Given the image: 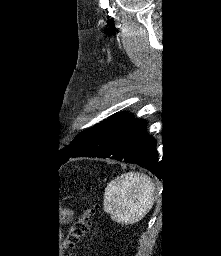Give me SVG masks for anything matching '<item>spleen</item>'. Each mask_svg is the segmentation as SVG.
Returning <instances> with one entry per match:
<instances>
[{"label":"spleen","mask_w":221,"mask_h":256,"mask_svg":"<svg viewBox=\"0 0 221 256\" xmlns=\"http://www.w3.org/2000/svg\"><path fill=\"white\" fill-rule=\"evenodd\" d=\"M154 199L152 179L142 173L128 172L107 185L104 210L118 223L133 224L149 212Z\"/></svg>","instance_id":"spleen-1"}]
</instances>
